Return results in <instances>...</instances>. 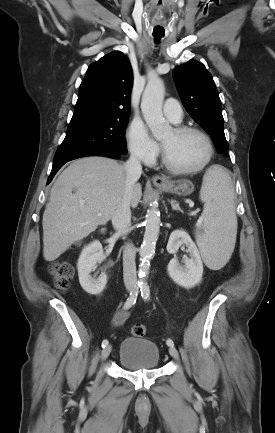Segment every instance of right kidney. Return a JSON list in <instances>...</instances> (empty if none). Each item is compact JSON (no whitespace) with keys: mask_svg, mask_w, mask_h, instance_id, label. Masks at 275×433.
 <instances>
[{"mask_svg":"<svg viewBox=\"0 0 275 433\" xmlns=\"http://www.w3.org/2000/svg\"><path fill=\"white\" fill-rule=\"evenodd\" d=\"M103 257L102 245L99 241L95 240L84 247L78 259L79 282L82 288L89 294H100L107 283L106 274H101L97 279L90 275L96 263L101 261Z\"/></svg>","mask_w":275,"mask_h":433,"instance_id":"ca27d5eb","label":"right kidney"}]
</instances>
